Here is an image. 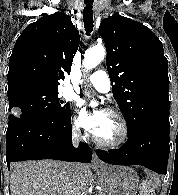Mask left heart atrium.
Returning a JSON list of instances; mask_svg holds the SVG:
<instances>
[{"label":"left heart atrium","mask_w":178,"mask_h":195,"mask_svg":"<svg viewBox=\"0 0 178 195\" xmlns=\"http://www.w3.org/2000/svg\"><path fill=\"white\" fill-rule=\"evenodd\" d=\"M78 106L82 125L90 132L96 134L103 122L105 112L98 111L94 114L89 113L86 109L85 102L82 100L78 102Z\"/></svg>","instance_id":"39dd6f15"}]
</instances>
